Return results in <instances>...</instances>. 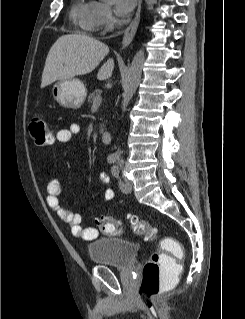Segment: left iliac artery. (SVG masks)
<instances>
[{
    "mask_svg": "<svg viewBox=\"0 0 245 319\" xmlns=\"http://www.w3.org/2000/svg\"><path fill=\"white\" fill-rule=\"evenodd\" d=\"M111 173L112 175L118 179V185H119V188L124 191L126 189V185L123 181H121V179H119V169H118V166L114 165L112 168H111Z\"/></svg>",
    "mask_w": 245,
    "mask_h": 319,
    "instance_id": "44dca946",
    "label": "left iliac artery"
}]
</instances>
